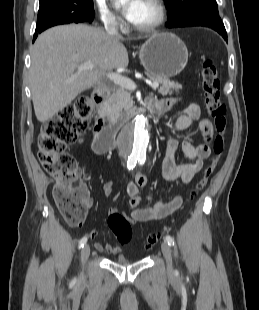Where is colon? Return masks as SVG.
Here are the masks:
<instances>
[{"label":"colon","mask_w":259,"mask_h":310,"mask_svg":"<svg viewBox=\"0 0 259 310\" xmlns=\"http://www.w3.org/2000/svg\"><path fill=\"white\" fill-rule=\"evenodd\" d=\"M201 87L207 114L213 120L216 132L213 141L214 157L202 171L200 179L191 188L189 198L193 199L204 188L215 171L220 156L225 151L224 134L227 127L226 107L220 99V78L213 61L204 58L201 71ZM94 100L90 95L78 97L65 106L56 116L41 127L39 134V161L54 179L53 198L64 220L71 224L81 223L91 202V194L80 179V171L75 158L66 152V146L83 134L92 118ZM108 226L121 244L132 238L130 221L121 213L112 212ZM162 233L146 235L145 248H152Z\"/></svg>","instance_id":"5ec220e1"}]
</instances>
